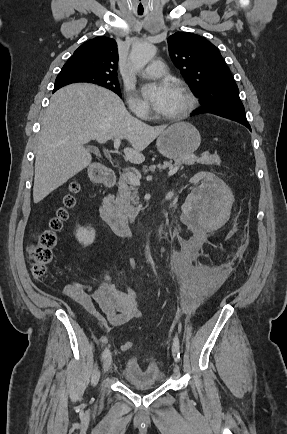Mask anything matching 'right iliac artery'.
I'll return each instance as SVG.
<instances>
[{"label": "right iliac artery", "instance_id": "82829eb1", "mask_svg": "<svg viewBox=\"0 0 287 434\" xmlns=\"http://www.w3.org/2000/svg\"><path fill=\"white\" fill-rule=\"evenodd\" d=\"M110 351L108 348H106L102 353V359H105L109 355Z\"/></svg>", "mask_w": 287, "mask_h": 434}]
</instances>
